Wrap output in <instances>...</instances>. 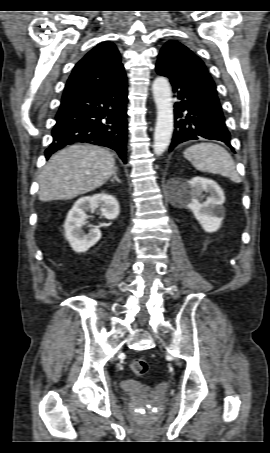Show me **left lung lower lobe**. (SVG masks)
<instances>
[{"mask_svg": "<svg viewBox=\"0 0 270 453\" xmlns=\"http://www.w3.org/2000/svg\"><path fill=\"white\" fill-rule=\"evenodd\" d=\"M156 71L169 78L179 100L174 106L175 119L182 118L175 121L169 152L182 142L201 138L222 141L234 150L216 90L181 75L165 62L157 61Z\"/></svg>", "mask_w": 270, "mask_h": 453, "instance_id": "obj_1", "label": "left lung lower lobe"}]
</instances>
